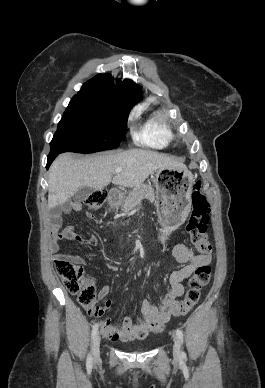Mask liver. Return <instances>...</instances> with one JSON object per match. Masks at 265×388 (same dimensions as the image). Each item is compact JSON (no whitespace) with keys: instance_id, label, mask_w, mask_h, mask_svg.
<instances>
[{"instance_id":"liver-1","label":"liver","mask_w":265,"mask_h":388,"mask_svg":"<svg viewBox=\"0 0 265 388\" xmlns=\"http://www.w3.org/2000/svg\"><path fill=\"white\" fill-rule=\"evenodd\" d=\"M116 168L123 172L116 174ZM185 170V164L151 150H126L113 156H93L76 160L72 154H61L50 166L48 178V210L68 202L81 188L101 190L110 182L116 186L135 188L156 170Z\"/></svg>"}]
</instances>
